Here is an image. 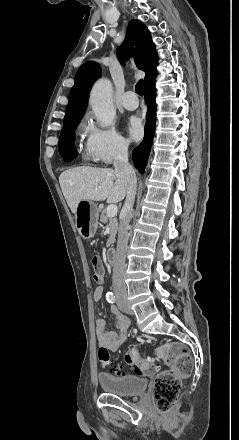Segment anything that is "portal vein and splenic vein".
Masks as SVG:
<instances>
[{
  "label": "portal vein and splenic vein",
  "mask_w": 239,
  "mask_h": 440,
  "mask_svg": "<svg viewBox=\"0 0 239 440\" xmlns=\"http://www.w3.org/2000/svg\"><path fill=\"white\" fill-rule=\"evenodd\" d=\"M117 214V206L115 204H110L107 208V216H110V218H113V216H116Z\"/></svg>",
  "instance_id": "obj_1"
}]
</instances>
